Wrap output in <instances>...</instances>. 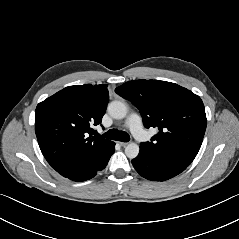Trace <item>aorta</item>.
I'll return each mask as SVG.
<instances>
[{
	"label": "aorta",
	"mask_w": 239,
	"mask_h": 239,
	"mask_svg": "<svg viewBox=\"0 0 239 239\" xmlns=\"http://www.w3.org/2000/svg\"><path fill=\"white\" fill-rule=\"evenodd\" d=\"M107 110L110 116L115 119H122L127 114V106L121 101H112L109 103ZM139 150V145L131 142L126 146L125 154L128 158L134 159L138 156Z\"/></svg>",
	"instance_id": "obj_1"
}]
</instances>
